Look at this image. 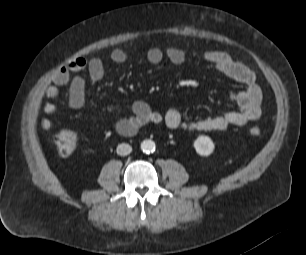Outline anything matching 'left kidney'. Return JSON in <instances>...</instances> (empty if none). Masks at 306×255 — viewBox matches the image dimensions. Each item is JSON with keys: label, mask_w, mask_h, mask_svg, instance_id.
Returning <instances> with one entry per match:
<instances>
[{"label": "left kidney", "mask_w": 306, "mask_h": 255, "mask_svg": "<svg viewBox=\"0 0 306 255\" xmlns=\"http://www.w3.org/2000/svg\"><path fill=\"white\" fill-rule=\"evenodd\" d=\"M194 148L201 156H208L214 151V143L208 136H199L194 141Z\"/></svg>", "instance_id": "obj_1"}]
</instances>
